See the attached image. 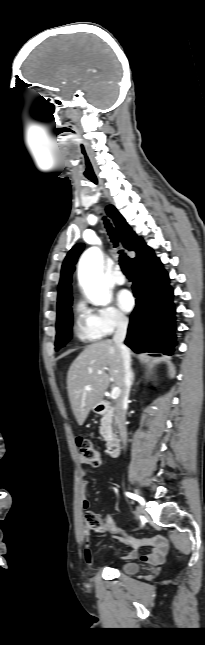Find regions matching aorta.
<instances>
[{
  "instance_id": "762f6f07",
  "label": "aorta",
  "mask_w": 205,
  "mask_h": 645,
  "mask_svg": "<svg viewBox=\"0 0 205 645\" xmlns=\"http://www.w3.org/2000/svg\"><path fill=\"white\" fill-rule=\"evenodd\" d=\"M79 282L87 297L96 305L110 302L108 288L103 279L102 256L99 248H89L81 257L78 270Z\"/></svg>"
}]
</instances>
